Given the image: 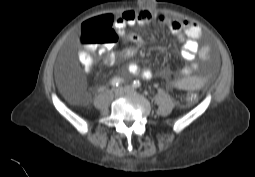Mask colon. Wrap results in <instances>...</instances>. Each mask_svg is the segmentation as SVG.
Instances as JSON below:
<instances>
[{"label":"colon","mask_w":255,"mask_h":177,"mask_svg":"<svg viewBox=\"0 0 255 177\" xmlns=\"http://www.w3.org/2000/svg\"><path fill=\"white\" fill-rule=\"evenodd\" d=\"M82 42L85 45H98L102 48L111 47L117 40L115 32L111 29L108 18L103 15L94 19L87 20L82 25L81 32ZM82 59L89 61L86 56ZM188 101L194 102L197 99L196 94H189Z\"/></svg>","instance_id":"1"}]
</instances>
